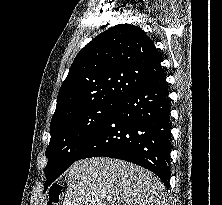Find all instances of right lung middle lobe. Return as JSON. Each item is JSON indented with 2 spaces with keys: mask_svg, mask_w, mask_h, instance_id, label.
Masks as SVG:
<instances>
[{
  "mask_svg": "<svg viewBox=\"0 0 222 205\" xmlns=\"http://www.w3.org/2000/svg\"><path fill=\"white\" fill-rule=\"evenodd\" d=\"M120 101L98 103L52 123L50 143L46 149V186L56 180L95 135Z\"/></svg>",
  "mask_w": 222,
  "mask_h": 205,
  "instance_id": "dd1d6c3e",
  "label": "right lung middle lobe"
}]
</instances>
